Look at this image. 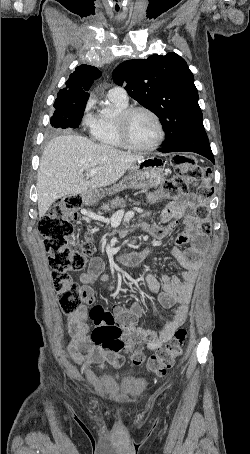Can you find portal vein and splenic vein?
<instances>
[{
	"label": "portal vein and splenic vein",
	"instance_id": "obj_1",
	"mask_svg": "<svg viewBox=\"0 0 250 454\" xmlns=\"http://www.w3.org/2000/svg\"><path fill=\"white\" fill-rule=\"evenodd\" d=\"M97 171H98L97 169H91L90 171H88V173L86 175H87V177H94L96 175ZM118 214L122 216L124 214V210L123 209L119 210L117 212V215Z\"/></svg>",
	"mask_w": 250,
	"mask_h": 454
}]
</instances>
